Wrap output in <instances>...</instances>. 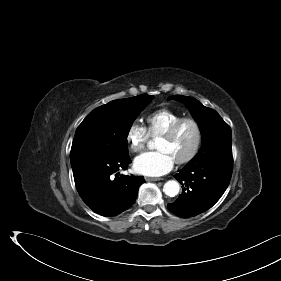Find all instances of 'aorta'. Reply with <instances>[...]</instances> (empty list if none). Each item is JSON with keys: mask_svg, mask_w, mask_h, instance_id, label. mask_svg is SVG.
Instances as JSON below:
<instances>
[{"mask_svg": "<svg viewBox=\"0 0 281 281\" xmlns=\"http://www.w3.org/2000/svg\"><path fill=\"white\" fill-rule=\"evenodd\" d=\"M180 191V185L175 180H169L164 184L163 192L170 197L176 196Z\"/></svg>", "mask_w": 281, "mask_h": 281, "instance_id": "1", "label": "aorta"}]
</instances>
